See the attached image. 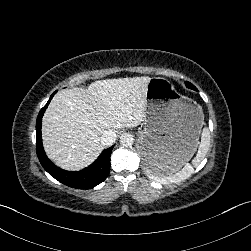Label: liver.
<instances>
[{
	"mask_svg": "<svg viewBox=\"0 0 251 251\" xmlns=\"http://www.w3.org/2000/svg\"><path fill=\"white\" fill-rule=\"evenodd\" d=\"M149 80V76L102 79L55 95L42 117L46 156L65 171L89 167L103 151L100 138L105 130L117 133L144 121Z\"/></svg>",
	"mask_w": 251,
	"mask_h": 251,
	"instance_id": "liver-1",
	"label": "liver"
}]
</instances>
